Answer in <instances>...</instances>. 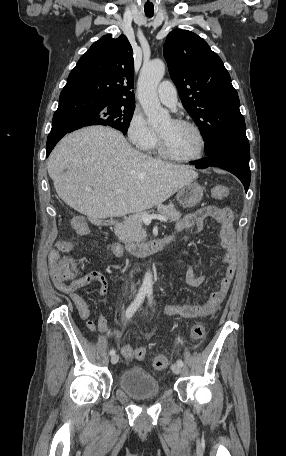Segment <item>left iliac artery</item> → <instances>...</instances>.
Returning a JSON list of instances; mask_svg holds the SVG:
<instances>
[{"label":"left iliac artery","instance_id":"1","mask_svg":"<svg viewBox=\"0 0 286 456\" xmlns=\"http://www.w3.org/2000/svg\"><path fill=\"white\" fill-rule=\"evenodd\" d=\"M147 293H148L149 303L152 304V300H153L152 290H149ZM177 364L182 367L183 361L179 359V360H177Z\"/></svg>","mask_w":286,"mask_h":456}]
</instances>
